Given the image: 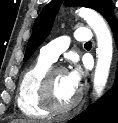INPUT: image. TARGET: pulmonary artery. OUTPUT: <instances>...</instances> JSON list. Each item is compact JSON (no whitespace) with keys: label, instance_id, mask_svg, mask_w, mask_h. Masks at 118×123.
I'll return each mask as SVG.
<instances>
[{"label":"pulmonary artery","instance_id":"obj_1","mask_svg":"<svg viewBox=\"0 0 118 123\" xmlns=\"http://www.w3.org/2000/svg\"><path fill=\"white\" fill-rule=\"evenodd\" d=\"M74 38L80 42L89 41L91 39V31L89 28H78L74 32ZM69 43L70 38L68 36H61L42 47L40 56L53 63L58 59L59 55L68 48Z\"/></svg>","mask_w":118,"mask_h":123}]
</instances>
